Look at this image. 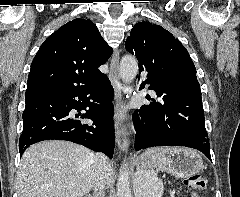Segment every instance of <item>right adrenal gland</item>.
Returning a JSON list of instances; mask_svg holds the SVG:
<instances>
[{"mask_svg": "<svg viewBox=\"0 0 240 197\" xmlns=\"http://www.w3.org/2000/svg\"><path fill=\"white\" fill-rule=\"evenodd\" d=\"M86 197H96V196H94V195H93V196H91V195L89 194V195H88V196H86Z\"/></svg>", "mask_w": 240, "mask_h": 197, "instance_id": "2a0ac1e0", "label": "right adrenal gland"}]
</instances>
